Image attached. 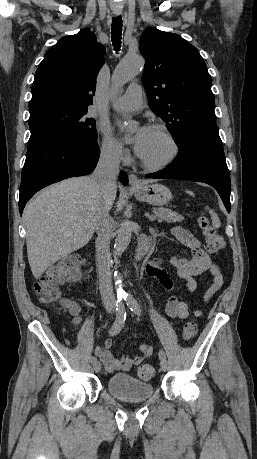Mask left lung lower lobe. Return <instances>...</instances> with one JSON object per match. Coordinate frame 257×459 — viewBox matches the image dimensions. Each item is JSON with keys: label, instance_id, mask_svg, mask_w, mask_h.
Listing matches in <instances>:
<instances>
[{"label": "left lung lower lobe", "instance_id": "0a47b994", "mask_svg": "<svg viewBox=\"0 0 257 459\" xmlns=\"http://www.w3.org/2000/svg\"><path fill=\"white\" fill-rule=\"evenodd\" d=\"M147 177L207 183L218 191L230 212V174L216 123L193 129L171 165Z\"/></svg>", "mask_w": 257, "mask_h": 459}]
</instances>
